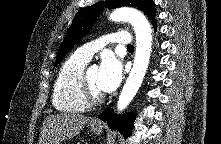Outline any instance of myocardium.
Segmentation results:
<instances>
[{
	"instance_id": "f54148a6",
	"label": "myocardium",
	"mask_w": 221,
	"mask_h": 144,
	"mask_svg": "<svg viewBox=\"0 0 221 144\" xmlns=\"http://www.w3.org/2000/svg\"><path fill=\"white\" fill-rule=\"evenodd\" d=\"M87 68H84L80 75V91L83 99L89 105L100 103L103 99V94L101 92L95 91L88 80Z\"/></svg>"
}]
</instances>
